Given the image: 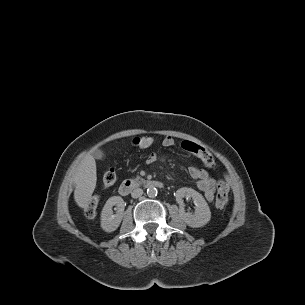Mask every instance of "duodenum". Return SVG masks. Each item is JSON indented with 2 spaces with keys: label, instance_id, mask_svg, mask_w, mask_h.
Listing matches in <instances>:
<instances>
[{
  "label": "duodenum",
  "instance_id": "obj_1",
  "mask_svg": "<svg viewBox=\"0 0 305 305\" xmlns=\"http://www.w3.org/2000/svg\"><path fill=\"white\" fill-rule=\"evenodd\" d=\"M146 185L151 188H153V187L162 188L164 186V184L161 181H157V180L148 181L146 183ZM134 186L135 185L132 181H129V180L123 181L118 188V192L122 196H127L132 192V190L134 189Z\"/></svg>",
  "mask_w": 305,
  "mask_h": 305
}]
</instances>
